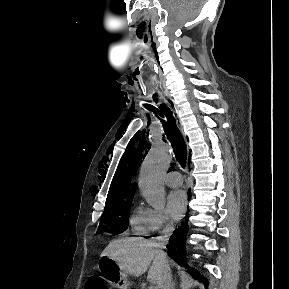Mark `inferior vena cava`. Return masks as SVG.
I'll use <instances>...</instances> for the list:
<instances>
[{
	"label": "inferior vena cava",
	"instance_id": "602c4592",
	"mask_svg": "<svg viewBox=\"0 0 289 289\" xmlns=\"http://www.w3.org/2000/svg\"><path fill=\"white\" fill-rule=\"evenodd\" d=\"M174 227L172 225H167L163 230V236L161 237V242L158 245L159 257L162 263L163 271L162 276L159 279L157 286L159 289H172V278L170 273V268L167 263L166 253L162 251L163 245L167 243Z\"/></svg>",
	"mask_w": 289,
	"mask_h": 289
}]
</instances>
